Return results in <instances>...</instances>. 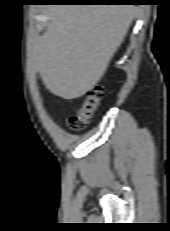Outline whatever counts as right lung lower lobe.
Instances as JSON below:
<instances>
[{"mask_svg":"<svg viewBox=\"0 0 170 231\" xmlns=\"http://www.w3.org/2000/svg\"><path fill=\"white\" fill-rule=\"evenodd\" d=\"M89 1V2H84ZM137 0H44V2H50L55 4H65V3H127L135 2Z\"/></svg>","mask_w":170,"mask_h":231,"instance_id":"1","label":"right lung lower lobe"}]
</instances>
